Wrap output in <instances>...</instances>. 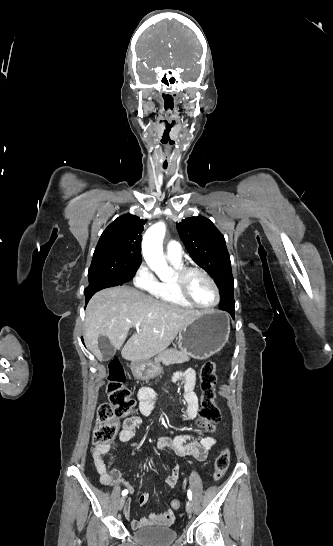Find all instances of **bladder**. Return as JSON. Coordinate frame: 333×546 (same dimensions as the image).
I'll use <instances>...</instances> for the list:
<instances>
[{"label": "bladder", "instance_id": "31cf9c89", "mask_svg": "<svg viewBox=\"0 0 333 546\" xmlns=\"http://www.w3.org/2000/svg\"><path fill=\"white\" fill-rule=\"evenodd\" d=\"M142 546H170L177 539V532L169 526H146L133 532Z\"/></svg>", "mask_w": 333, "mask_h": 546}]
</instances>
